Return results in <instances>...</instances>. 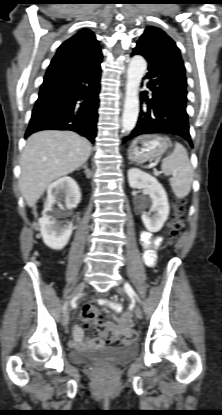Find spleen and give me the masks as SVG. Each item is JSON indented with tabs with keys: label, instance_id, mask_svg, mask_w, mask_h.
<instances>
[{
	"label": "spleen",
	"instance_id": "3e777b00",
	"mask_svg": "<svg viewBox=\"0 0 222 415\" xmlns=\"http://www.w3.org/2000/svg\"><path fill=\"white\" fill-rule=\"evenodd\" d=\"M161 168L165 175L173 176L169 182L175 196L185 198L191 190L193 169L188 153L180 143H175L173 152L163 159Z\"/></svg>",
	"mask_w": 222,
	"mask_h": 415
}]
</instances>
